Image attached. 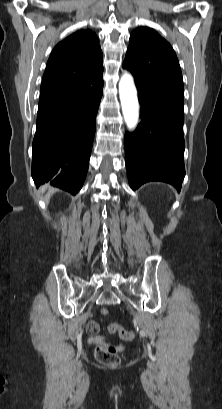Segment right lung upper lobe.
I'll list each match as a JSON object with an SVG mask.
<instances>
[{"mask_svg": "<svg viewBox=\"0 0 222 409\" xmlns=\"http://www.w3.org/2000/svg\"><path fill=\"white\" fill-rule=\"evenodd\" d=\"M99 40L81 29L53 49L43 76L40 100L46 102L82 92L90 77L103 73Z\"/></svg>", "mask_w": 222, "mask_h": 409, "instance_id": "cb5924a9", "label": "right lung upper lobe"}]
</instances>
